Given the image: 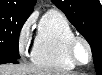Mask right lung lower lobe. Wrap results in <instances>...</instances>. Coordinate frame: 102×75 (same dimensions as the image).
I'll return each instance as SVG.
<instances>
[{"instance_id": "right-lung-lower-lobe-1", "label": "right lung lower lobe", "mask_w": 102, "mask_h": 75, "mask_svg": "<svg viewBox=\"0 0 102 75\" xmlns=\"http://www.w3.org/2000/svg\"><path fill=\"white\" fill-rule=\"evenodd\" d=\"M5 63H14V64H17L18 61H17V59H13V58H1L0 59V64H5Z\"/></svg>"}]
</instances>
